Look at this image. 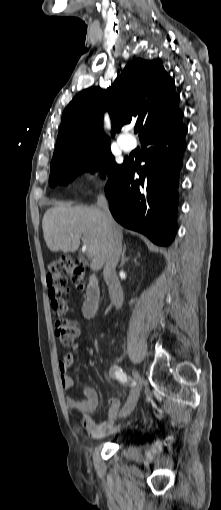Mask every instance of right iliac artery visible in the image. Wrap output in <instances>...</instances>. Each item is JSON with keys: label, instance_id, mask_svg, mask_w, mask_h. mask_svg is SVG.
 Returning <instances> with one entry per match:
<instances>
[{"label": "right iliac artery", "instance_id": "obj_1", "mask_svg": "<svg viewBox=\"0 0 221 510\" xmlns=\"http://www.w3.org/2000/svg\"><path fill=\"white\" fill-rule=\"evenodd\" d=\"M115 376H116V378H117L120 382H122V383H128V377H127L126 373H124V372L122 371V369L117 370V371L115 372Z\"/></svg>", "mask_w": 221, "mask_h": 510}]
</instances>
